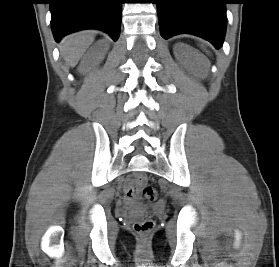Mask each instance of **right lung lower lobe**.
Wrapping results in <instances>:
<instances>
[{"mask_svg": "<svg viewBox=\"0 0 279 267\" xmlns=\"http://www.w3.org/2000/svg\"><path fill=\"white\" fill-rule=\"evenodd\" d=\"M55 40L83 29H100L114 41L120 34L122 0H50Z\"/></svg>", "mask_w": 279, "mask_h": 267, "instance_id": "1", "label": "right lung lower lobe"}]
</instances>
